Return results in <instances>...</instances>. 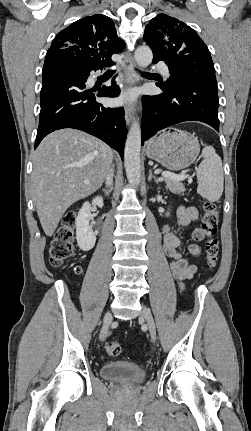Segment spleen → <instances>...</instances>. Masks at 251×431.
Here are the masks:
<instances>
[{
	"instance_id": "obj_1",
	"label": "spleen",
	"mask_w": 251,
	"mask_h": 431,
	"mask_svg": "<svg viewBox=\"0 0 251 431\" xmlns=\"http://www.w3.org/2000/svg\"><path fill=\"white\" fill-rule=\"evenodd\" d=\"M203 160L197 168L198 193L207 200L215 202L223 192V167L220 156L212 146L202 150Z\"/></svg>"
}]
</instances>
